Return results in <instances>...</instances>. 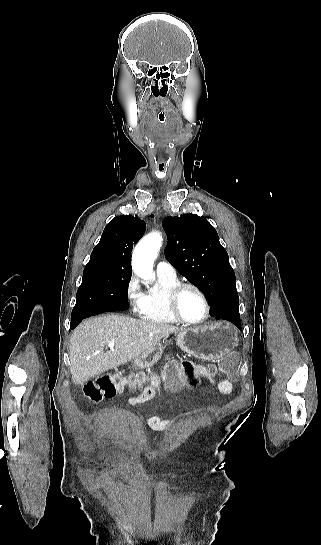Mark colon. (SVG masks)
Returning <instances> with one entry per match:
<instances>
[{
    "instance_id": "colon-1",
    "label": "colon",
    "mask_w": 321,
    "mask_h": 545,
    "mask_svg": "<svg viewBox=\"0 0 321 545\" xmlns=\"http://www.w3.org/2000/svg\"><path fill=\"white\" fill-rule=\"evenodd\" d=\"M239 359L236 355H229L220 363L221 370L230 379L237 377V367ZM207 376L213 378L214 370L212 368H201L190 361L182 365V369L177 371L170 368L167 372V388L178 390L186 386L190 389L196 388L200 384V378ZM142 380L136 377L129 382L113 375H101L96 379L89 381L83 388L84 395L92 402L99 403L103 399L111 398L122 391L126 385L131 389L140 386Z\"/></svg>"
}]
</instances>
